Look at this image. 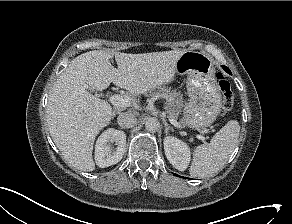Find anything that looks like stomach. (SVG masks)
<instances>
[{
	"instance_id": "1",
	"label": "stomach",
	"mask_w": 292,
	"mask_h": 224,
	"mask_svg": "<svg viewBox=\"0 0 292 224\" xmlns=\"http://www.w3.org/2000/svg\"><path fill=\"white\" fill-rule=\"evenodd\" d=\"M175 73L187 76L190 100L184 106L183 126L201 129L211 125L222 102L213 59L201 52L185 51L176 62Z\"/></svg>"
}]
</instances>
